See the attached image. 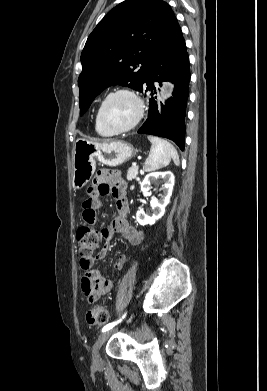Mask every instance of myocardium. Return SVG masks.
I'll return each instance as SVG.
<instances>
[{"label": "myocardium", "instance_id": "obj_1", "mask_svg": "<svg viewBox=\"0 0 267 391\" xmlns=\"http://www.w3.org/2000/svg\"><path fill=\"white\" fill-rule=\"evenodd\" d=\"M120 94L128 95L135 101V103L137 105V114H136V117L134 118V120L129 125H127L125 127H121V128H115L106 122V120L104 118V107L110 98H112L116 95H120ZM144 112H145L144 102L141 99V97L138 95L137 92H135L134 90H132L130 88H117V89L109 92L103 98V100L101 101V103L99 105L97 115H98L99 122L103 126V128H105L107 131H109L113 134H119V133L128 132V131L134 129L139 124L141 119L143 118Z\"/></svg>", "mask_w": 267, "mask_h": 391}]
</instances>
